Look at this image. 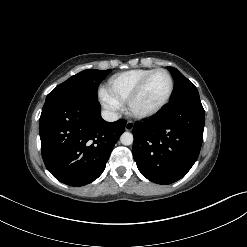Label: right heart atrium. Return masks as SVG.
<instances>
[{"label":"right heart atrium","instance_id":"1","mask_svg":"<svg viewBox=\"0 0 247 247\" xmlns=\"http://www.w3.org/2000/svg\"><path fill=\"white\" fill-rule=\"evenodd\" d=\"M100 99L103 106L112 112H117L122 108L121 103L104 89L100 91Z\"/></svg>","mask_w":247,"mask_h":247}]
</instances>
